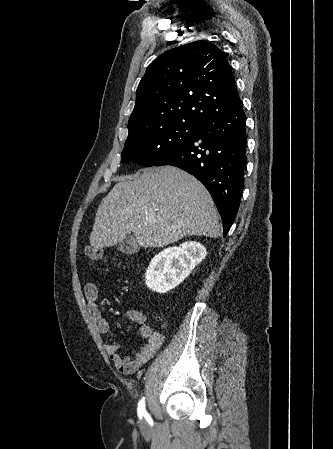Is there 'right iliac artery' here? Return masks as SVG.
Here are the masks:
<instances>
[{
	"label": "right iliac artery",
	"mask_w": 333,
	"mask_h": 449,
	"mask_svg": "<svg viewBox=\"0 0 333 449\" xmlns=\"http://www.w3.org/2000/svg\"><path fill=\"white\" fill-rule=\"evenodd\" d=\"M137 412L140 419L147 415L144 398L138 403Z\"/></svg>",
	"instance_id": "obj_1"
}]
</instances>
